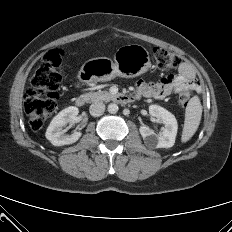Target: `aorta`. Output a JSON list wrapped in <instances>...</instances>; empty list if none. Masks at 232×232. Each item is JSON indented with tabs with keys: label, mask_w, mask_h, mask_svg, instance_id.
<instances>
[{
	"label": "aorta",
	"mask_w": 232,
	"mask_h": 232,
	"mask_svg": "<svg viewBox=\"0 0 232 232\" xmlns=\"http://www.w3.org/2000/svg\"><path fill=\"white\" fill-rule=\"evenodd\" d=\"M107 109H108V112L111 114H116L119 110L118 105L115 103H110Z\"/></svg>",
	"instance_id": "obj_1"
}]
</instances>
